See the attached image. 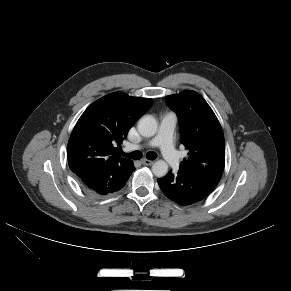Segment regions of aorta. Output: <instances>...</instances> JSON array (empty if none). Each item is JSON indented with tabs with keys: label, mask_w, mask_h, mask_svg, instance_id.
I'll return each instance as SVG.
<instances>
[{
	"label": "aorta",
	"mask_w": 291,
	"mask_h": 291,
	"mask_svg": "<svg viewBox=\"0 0 291 291\" xmlns=\"http://www.w3.org/2000/svg\"><path fill=\"white\" fill-rule=\"evenodd\" d=\"M138 132L144 137H152L156 134L158 123L151 115L142 117L138 122ZM152 172L157 177H163L168 172V164L163 160H157L152 166Z\"/></svg>",
	"instance_id": "1"
}]
</instances>
